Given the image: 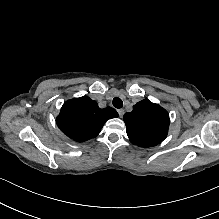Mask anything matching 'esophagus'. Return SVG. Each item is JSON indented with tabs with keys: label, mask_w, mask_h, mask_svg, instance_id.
Wrapping results in <instances>:
<instances>
[{
	"label": "esophagus",
	"mask_w": 219,
	"mask_h": 219,
	"mask_svg": "<svg viewBox=\"0 0 219 219\" xmlns=\"http://www.w3.org/2000/svg\"><path fill=\"white\" fill-rule=\"evenodd\" d=\"M117 112H118L119 116L122 118L123 115H124V110L123 109H118Z\"/></svg>",
	"instance_id": "1"
}]
</instances>
